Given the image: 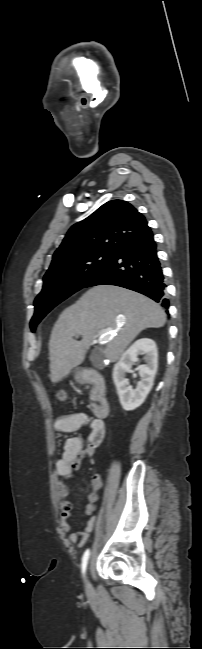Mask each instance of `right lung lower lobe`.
Instances as JSON below:
<instances>
[{
	"instance_id": "1",
	"label": "right lung lower lobe",
	"mask_w": 202,
	"mask_h": 649,
	"mask_svg": "<svg viewBox=\"0 0 202 649\" xmlns=\"http://www.w3.org/2000/svg\"><path fill=\"white\" fill-rule=\"evenodd\" d=\"M109 284L142 293L162 306L166 284L151 230L124 244L83 288Z\"/></svg>"
}]
</instances>
